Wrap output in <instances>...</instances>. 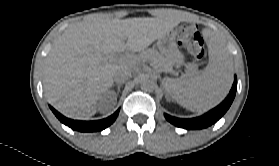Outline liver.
Masks as SVG:
<instances>
[{"label":"liver","instance_id":"liver-1","mask_svg":"<svg viewBox=\"0 0 279 166\" xmlns=\"http://www.w3.org/2000/svg\"><path fill=\"white\" fill-rule=\"evenodd\" d=\"M176 11L161 18H109L95 14L69 26L55 41L45 67V95L69 118L86 120L96 111L99 96L128 61L110 62L114 52H140L177 26Z\"/></svg>","mask_w":279,"mask_h":166}]
</instances>
